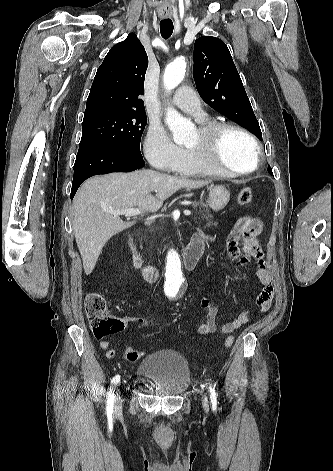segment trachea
Listing matches in <instances>:
<instances>
[{
  "label": "trachea",
  "mask_w": 333,
  "mask_h": 471,
  "mask_svg": "<svg viewBox=\"0 0 333 471\" xmlns=\"http://www.w3.org/2000/svg\"><path fill=\"white\" fill-rule=\"evenodd\" d=\"M173 22L170 19H164L160 22V32L164 39H168L173 32Z\"/></svg>",
  "instance_id": "obj_1"
}]
</instances>
